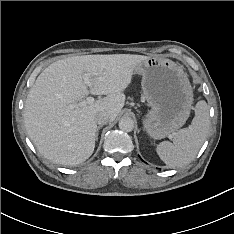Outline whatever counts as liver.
Here are the masks:
<instances>
[{"label":"liver","instance_id":"liver-1","mask_svg":"<svg viewBox=\"0 0 234 234\" xmlns=\"http://www.w3.org/2000/svg\"><path fill=\"white\" fill-rule=\"evenodd\" d=\"M149 57L131 54L84 55L49 65L30 89L24 107V123L37 150L50 161L77 165L95 148V115L106 111L114 120L125 104L124 90L136 66ZM89 74L88 89L83 75ZM91 93L106 95L93 103L69 109Z\"/></svg>","mask_w":234,"mask_h":234}]
</instances>
